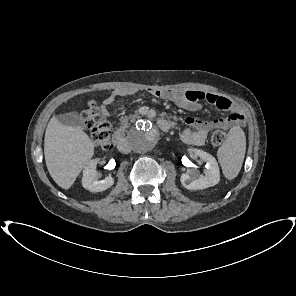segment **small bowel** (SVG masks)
Listing matches in <instances>:
<instances>
[{
	"label": "small bowel",
	"instance_id": "small-bowel-1",
	"mask_svg": "<svg viewBox=\"0 0 296 296\" xmlns=\"http://www.w3.org/2000/svg\"><path fill=\"white\" fill-rule=\"evenodd\" d=\"M130 89H116L111 92L102 103V112L108 114V106L117 98L132 94ZM152 94L158 98L174 102L178 107L189 110H200L204 103L212 105L229 114L226 117L202 121L197 118L188 117L185 127L180 132L182 141L190 145H202L210 131L216 128H230L236 125H243L244 114L241 109L231 100L211 93L198 90H152Z\"/></svg>",
	"mask_w": 296,
	"mask_h": 296
}]
</instances>
